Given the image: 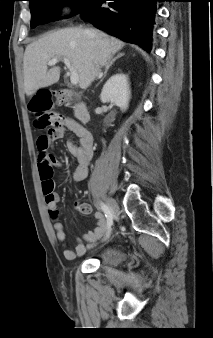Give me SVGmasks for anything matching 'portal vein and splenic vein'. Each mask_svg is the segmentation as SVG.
I'll return each mask as SVG.
<instances>
[{"mask_svg": "<svg viewBox=\"0 0 213 338\" xmlns=\"http://www.w3.org/2000/svg\"><path fill=\"white\" fill-rule=\"evenodd\" d=\"M65 65L68 67L69 71H70V81L73 85H77L78 82H79V76H78V73L77 71L73 68L71 62L69 59L67 58H64L63 59ZM58 62V59L57 58H54V59H51L49 62H48V65L49 66H54L56 63Z\"/></svg>", "mask_w": 213, "mask_h": 338, "instance_id": "18ae733b", "label": "portal vein and splenic vein"}]
</instances>
